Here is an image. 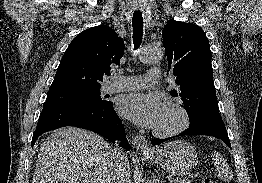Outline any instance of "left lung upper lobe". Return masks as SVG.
I'll use <instances>...</instances> for the list:
<instances>
[{
    "instance_id": "1",
    "label": "left lung upper lobe",
    "mask_w": 262,
    "mask_h": 183,
    "mask_svg": "<svg viewBox=\"0 0 262 183\" xmlns=\"http://www.w3.org/2000/svg\"><path fill=\"white\" fill-rule=\"evenodd\" d=\"M168 68L177 89L170 94L181 100L190 125L222 120L213 82L211 50L204 31L197 25L172 20L162 31Z\"/></svg>"
}]
</instances>
